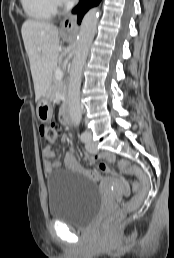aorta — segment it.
<instances>
[{"label": "aorta", "mask_w": 174, "mask_h": 258, "mask_svg": "<svg viewBox=\"0 0 174 258\" xmlns=\"http://www.w3.org/2000/svg\"><path fill=\"white\" fill-rule=\"evenodd\" d=\"M99 11L97 8L90 9L84 16L77 36L76 53L70 69L68 86V107L71 122L78 126L82 119L80 107V86L82 69L86 62L90 45L96 33Z\"/></svg>", "instance_id": "1"}]
</instances>
